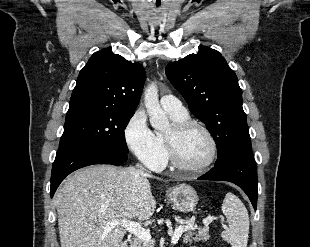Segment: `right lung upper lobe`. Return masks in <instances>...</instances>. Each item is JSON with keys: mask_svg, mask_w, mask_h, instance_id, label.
Returning a JSON list of instances; mask_svg holds the SVG:
<instances>
[{"mask_svg": "<svg viewBox=\"0 0 310 247\" xmlns=\"http://www.w3.org/2000/svg\"><path fill=\"white\" fill-rule=\"evenodd\" d=\"M146 74L139 63L106 48L95 52L80 71L69 109H112L134 112Z\"/></svg>", "mask_w": 310, "mask_h": 247, "instance_id": "1", "label": "right lung upper lobe"}]
</instances>
